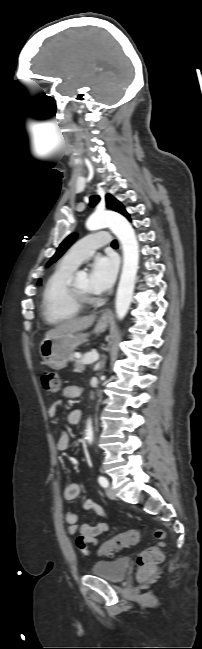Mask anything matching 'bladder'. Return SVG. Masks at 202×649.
Listing matches in <instances>:
<instances>
[{"label": "bladder", "instance_id": "bladder-1", "mask_svg": "<svg viewBox=\"0 0 202 649\" xmlns=\"http://www.w3.org/2000/svg\"><path fill=\"white\" fill-rule=\"evenodd\" d=\"M128 568L129 561L127 558H117L111 561L96 562L92 566L90 573L93 576L117 583L125 577Z\"/></svg>", "mask_w": 202, "mask_h": 649}]
</instances>
